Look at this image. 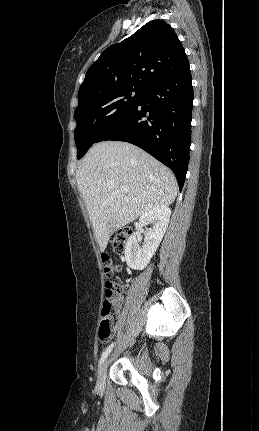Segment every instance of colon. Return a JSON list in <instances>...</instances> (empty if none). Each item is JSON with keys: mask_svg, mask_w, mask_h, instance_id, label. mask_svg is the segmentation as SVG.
Wrapping results in <instances>:
<instances>
[{"mask_svg": "<svg viewBox=\"0 0 259 431\" xmlns=\"http://www.w3.org/2000/svg\"><path fill=\"white\" fill-rule=\"evenodd\" d=\"M130 232L128 229H120L111 237L113 250L117 254H123ZM102 263L105 275L108 277L106 282V300L101 309V321L98 328V335L101 341H108L118 323L119 314L117 301L122 293V285L118 279H114L115 273L120 271V266L107 253L102 254Z\"/></svg>", "mask_w": 259, "mask_h": 431, "instance_id": "1", "label": "colon"}]
</instances>
